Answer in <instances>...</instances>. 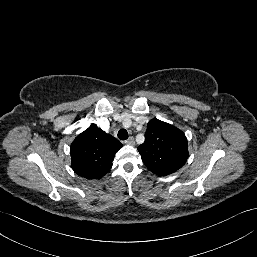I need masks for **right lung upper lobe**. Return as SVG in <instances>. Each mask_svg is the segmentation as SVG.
<instances>
[{"mask_svg": "<svg viewBox=\"0 0 257 257\" xmlns=\"http://www.w3.org/2000/svg\"><path fill=\"white\" fill-rule=\"evenodd\" d=\"M121 147L117 139L92 124L71 144L72 169L86 179H100L111 169Z\"/></svg>", "mask_w": 257, "mask_h": 257, "instance_id": "right-lung-upper-lobe-1", "label": "right lung upper lobe"}]
</instances>
